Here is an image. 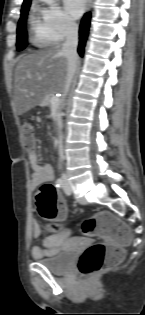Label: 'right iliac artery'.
Instances as JSON below:
<instances>
[{
    "label": "right iliac artery",
    "instance_id": "right-iliac-artery-1",
    "mask_svg": "<svg viewBox=\"0 0 145 315\" xmlns=\"http://www.w3.org/2000/svg\"><path fill=\"white\" fill-rule=\"evenodd\" d=\"M63 186H64V180H63V178H58V179L56 180V187L61 188V187H63Z\"/></svg>",
    "mask_w": 145,
    "mask_h": 315
}]
</instances>
